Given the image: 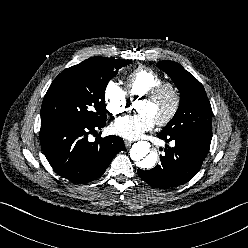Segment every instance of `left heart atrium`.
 Listing matches in <instances>:
<instances>
[{
	"mask_svg": "<svg viewBox=\"0 0 248 248\" xmlns=\"http://www.w3.org/2000/svg\"><path fill=\"white\" fill-rule=\"evenodd\" d=\"M155 121L146 112L125 116L111 125L112 133L129 140L140 138L144 132L153 128Z\"/></svg>",
	"mask_w": 248,
	"mask_h": 248,
	"instance_id": "left-heart-atrium-1",
	"label": "left heart atrium"
}]
</instances>
